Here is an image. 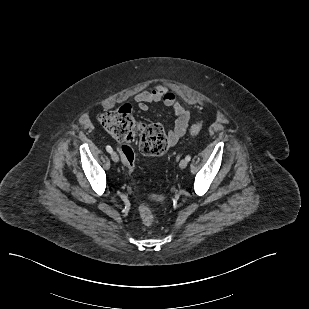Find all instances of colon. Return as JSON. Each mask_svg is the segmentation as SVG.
<instances>
[{
	"mask_svg": "<svg viewBox=\"0 0 309 309\" xmlns=\"http://www.w3.org/2000/svg\"><path fill=\"white\" fill-rule=\"evenodd\" d=\"M103 128L120 142V154L130 175H133L135 167V152L132 142L136 136L139 137L140 151L147 156H161L169 148L167 136L159 124H142L137 122L131 110L123 106L117 110L101 113L98 117ZM202 129L200 124L193 125L191 134H198ZM135 189L138 186L134 183ZM149 198L154 201H162L166 198L164 194H152ZM139 215L145 226L154 222L152 210L145 202L139 204Z\"/></svg>",
	"mask_w": 309,
	"mask_h": 309,
	"instance_id": "colon-1",
	"label": "colon"
}]
</instances>
